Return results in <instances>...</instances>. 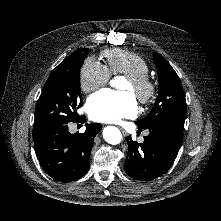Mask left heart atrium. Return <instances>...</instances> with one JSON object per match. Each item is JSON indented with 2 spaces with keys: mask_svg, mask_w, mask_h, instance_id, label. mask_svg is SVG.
<instances>
[{
  "mask_svg": "<svg viewBox=\"0 0 221 221\" xmlns=\"http://www.w3.org/2000/svg\"><path fill=\"white\" fill-rule=\"evenodd\" d=\"M89 117L98 122L114 123L137 113L135 96L127 91L100 90L86 103Z\"/></svg>",
  "mask_w": 221,
  "mask_h": 221,
  "instance_id": "left-heart-atrium-1",
  "label": "left heart atrium"
}]
</instances>
